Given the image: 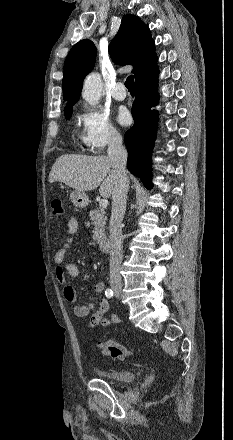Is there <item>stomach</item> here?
<instances>
[{"instance_id": "stomach-1", "label": "stomach", "mask_w": 233, "mask_h": 440, "mask_svg": "<svg viewBox=\"0 0 233 440\" xmlns=\"http://www.w3.org/2000/svg\"><path fill=\"white\" fill-rule=\"evenodd\" d=\"M70 199L77 208H84L89 203L88 195L85 192L73 190L70 193Z\"/></svg>"}]
</instances>
